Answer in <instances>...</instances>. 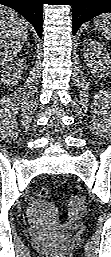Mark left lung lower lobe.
I'll use <instances>...</instances> for the list:
<instances>
[{"label": "left lung lower lobe", "instance_id": "obj_1", "mask_svg": "<svg viewBox=\"0 0 111 257\" xmlns=\"http://www.w3.org/2000/svg\"><path fill=\"white\" fill-rule=\"evenodd\" d=\"M105 12H111V0H73V34H76L84 22Z\"/></svg>", "mask_w": 111, "mask_h": 257}]
</instances>
